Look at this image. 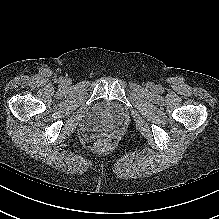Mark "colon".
<instances>
[{"label": "colon", "instance_id": "1", "mask_svg": "<svg viewBox=\"0 0 219 219\" xmlns=\"http://www.w3.org/2000/svg\"><path fill=\"white\" fill-rule=\"evenodd\" d=\"M108 147H109V142L107 139H104V138L98 139L94 144V148L96 150H105Z\"/></svg>", "mask_w": 219, "mask_h": 219}]
</instances>
